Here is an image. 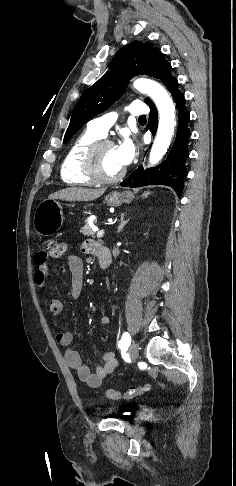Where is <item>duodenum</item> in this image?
<instances>
[{"mask_svg":"<svg viewBox=\"0 0 236 486\" xmlns=\"http://www.w3.org/2000/svg\"><path fill=\"white\" fill-rule=\"evenodd\" d=\"M96 255L98 256L100 266L102 268L105 269L110 265L111 254H110V250L107 247L98 244L96 246Z\"/></svg>","mask_w":236,"mask_h":486,"instance_id":"duodenum-1","label":"duodenum"}]
</instances>
